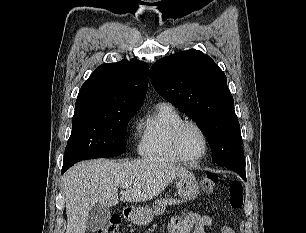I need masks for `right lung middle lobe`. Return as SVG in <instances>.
I'll return each instance as SVG.
<instances>
[{"label":"right lung middle lobe","instance_id":"1","mask_svg":"<svg viewBox=\"0 0 306 233\" xmlns=\"http://www.w3.org/2000/svg\"><path fill=\"white\" fill-rule=\"evenodd\" d=\"M137 110L75 107L72 132L63 165L92 158L110 157L125 151V131Z\"/></svg>","mask_w":306,"mask_h":233}]
</instances>
